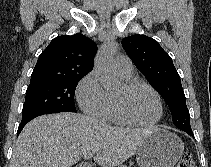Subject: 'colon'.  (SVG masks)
<instances>
[{"label":"colon","mask_w":211,"mask_h":167,"mask_svg":"<svg viewBox=\"0 0 211 167\" xmlns=\"http://www.w3.org/2000/svg\"><path fill=\"white\" fill-rule=\"evenodd\" d=\"M176 167H196L193 156L190 153H185L179 160Z\"/></svg>","instance_id":"1"}]
</instances>
